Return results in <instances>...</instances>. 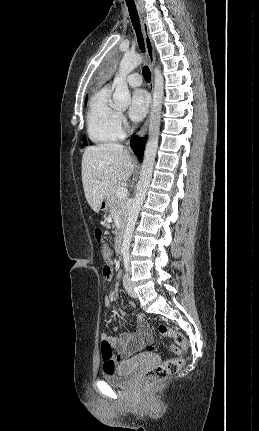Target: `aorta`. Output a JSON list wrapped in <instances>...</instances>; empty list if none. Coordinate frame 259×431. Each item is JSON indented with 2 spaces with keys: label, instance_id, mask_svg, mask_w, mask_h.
<instances>
[{
  "label": "aorta",
  "instance_id": "obj_1",
  "mask_svg": "<svg viewBox=\"0 0 259 431\" xmlns=\"http://www.w3.org/2000/svg\"><path fill=\"white\" fill-rule=\"evenodd\" d=\"M143 57L138 54H125L120 62L119 71L114 78L115 92L113 94L114 107L119 109L127 108L131 102V94L126 83V77L141 63ZM154 91L153 103L150 112L149 138L145 148L140 180L137 184V192L128 214L127 224L123 235L121 254L128 255L131 239L133 236L138 214L143 205L148 186L152 177V170L155 162L158 147V137L160 128V118L162 100L164 96V79L158 68L154 69Z\"/></svg>",
  "mask_w": 259,
  "mask_h": 431
}]
</instances>
